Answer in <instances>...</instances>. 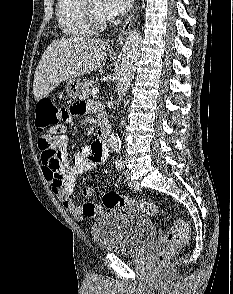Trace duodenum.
<instances>
[{"label": "duodenum", "instance_id": "duodenum-1", "mask_svg": "<svg viewBox=\"0 0 233 294\" xmlns=\"http://www.w3.org/2000/svg\"><path fill=\"white\" fill-rule=\"evenodd\" d=\"M109 132H110V126H109L108 120L102 116L100 118V121L96 129L97 140L100 143L105 144L107 142Z\"/></svg>", "mask_w": 233, "mask_h": 294}]
</instances>
